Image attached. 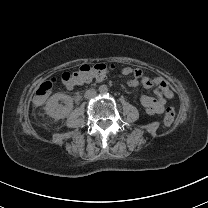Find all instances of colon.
Returning <instances> with one entry per match:
<instances>
[{
	"mask_svg": "<svg viewBox=\"0 0 208 208\" xmlns=\"http://www.w3.org/2000/svg\"><path fill=\"white\" fill-rule=\"evenodd\" d=\"M113 67L112 64L97 63H84L80 65L75 71H65L60 75V78L54 77L46 79L42 82L36 95L34 96V103L36 105H44L48 102L49 96L55 88V82L61 81L67 87L72 88L77 81L83 79H97L100 75H105L106 71ZM176 120V111L173 106L166 109L165 115L162 120V127L164 130L169 129Z\"/></svg>",
	"mask_w": 208,
	"mask_h": 208,
	"instance_id": "obj_1",
	"label": "colon"
}]
</instances>
